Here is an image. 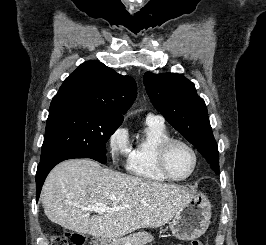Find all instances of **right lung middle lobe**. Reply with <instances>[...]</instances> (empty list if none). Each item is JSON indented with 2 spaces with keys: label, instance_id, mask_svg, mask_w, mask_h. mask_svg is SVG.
<instances>
[{
  "label": "right lung middle lobe",
  "instance_id": "1",
  "mask_svg": "<svg viewBox=\"0 0 266 245\" xmlns=\"http://www.w3.org/2000/svg\"><path fill=\"white\" fill-rule=\"evenodd\" d=\"M92 110H72L49 116L41 160L57 154H74L106 163L105 143L122 123Z\"/></svg>",
  "mask_w": 266,
  "mask_h": 245
}]
</instances>
